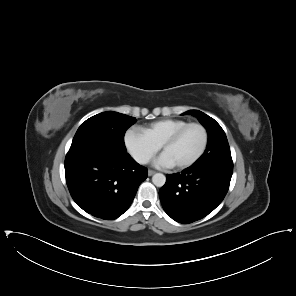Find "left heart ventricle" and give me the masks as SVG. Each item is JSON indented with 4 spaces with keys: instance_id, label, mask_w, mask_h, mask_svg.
<instances>
[{
    "instance_id": "1",
    "label": "left heart ventricle",
    "mask_w": 296,
    "mask_h": 296,
    "mask_svg": "<svg viewBox=\"0 0 296 296\" xmlns=\"http://www.w3.org/2000/svg\"><path fill=\"white\" fill-rule=\"evenodd\" d=\"M203 144V132L198 127H190L164 152L174 163H182L193 158Z\"/></svg>"
}]
</instances>
